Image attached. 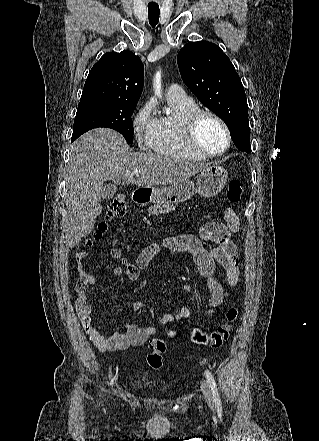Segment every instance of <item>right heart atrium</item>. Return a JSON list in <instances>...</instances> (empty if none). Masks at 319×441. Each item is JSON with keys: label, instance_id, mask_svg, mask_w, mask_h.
<instances>
[{"label": "right heart atrium", "instance_id": "d8ad5b80", "mask_svg": "<svg viewBox=\"0 0 319 441\" xmlns=\"http://www.w3.org/2000/svg\"><path fill=\"white\" fill-rule=\"evenodd\" d=\"M156 125L157 119L154 116V106L148 101L138 109L132 119L133 135L140 149H151Z\"/></svg>", "mask_w": 319, "mask_h": 441}]
</instances>
